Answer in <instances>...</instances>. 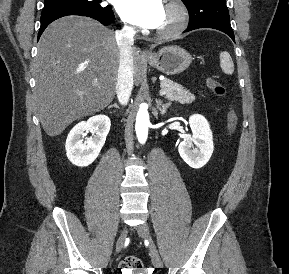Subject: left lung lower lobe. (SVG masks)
Here are the masks:
<instances>
[{
  "instance_id": "left-lung-lower-lobe-1",
  "label": "left lung lower lobe",
  "mask_w": 289,
  "mask_h": 274,
  "mask_svg": "<svg viewBox=\"0 0 289 274\" xmlns=\"http://www.w3.org/2000/svg\"><path fill=\"white\" fill-rule=\"evenodd\" d=\"M199 28H213V29L220 30V31L226 33L227 35H229L232 38V40L235 42L234 33H233V30L231 28L230 23H227V22H204L201 24L189 26L188 29L186 30V32L191 31V30H195V29H199Z\"/></svg>"
}]
</instances>
